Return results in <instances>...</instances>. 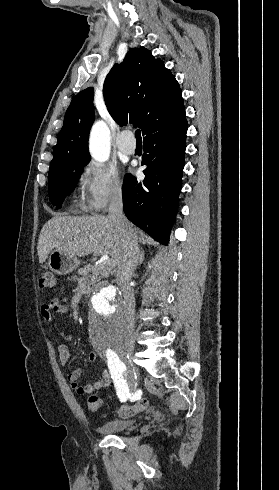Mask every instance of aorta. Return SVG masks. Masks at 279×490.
I'll use <instances>...</instances> for the list:
<instances>
[{
	"label": "aorta",
	"mask_w": 279,
	"mask_h": 490,
	"mask_svg": "<svg viewBox=\"0 0 279 490\" xmlns=\"http://www.w3.org/2000/svg\"><path fill=\"white\" fill-rule=\"evenodd\" d=\"M89 151L99 162L109 157L110 131L103 121H97L91 129ZM87 320L90 340L100 353H110L131 339L124 303L113 286H105L92 295Z\"/></svg>",
	"instance_id": "obj_1"
}]
</instances>
